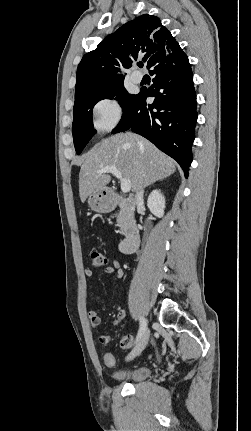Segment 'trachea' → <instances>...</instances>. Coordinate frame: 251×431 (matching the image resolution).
Instances as JSON below:
<instances>
[{
	"label": "trachea",
	"mask_w": 251,
	"mask_h": 431,
	"mask_svg": "<svg viewBox=\"0 0 251 431\" xmlns=\"http://www.w3.org/2000/svg\"><path fill=\"white\" fill-rule=\"evenodd\" d=\"M138 66H139L140 68H142V67H143V63H139V64H138Z\"/></svg>",
	"instance_id": "trachea-1"
}]
</instances>
